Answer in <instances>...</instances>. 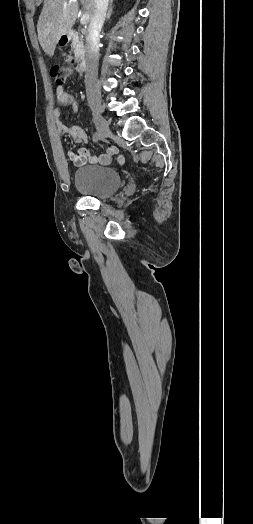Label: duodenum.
Masks as SVG:
<instances>
[{"instance_id":"duodenum-1","label":"duodenum","mask_w":253,"mask_h":524,"mask_svg":"<svg viewBox=\"0 0 253 524\" xmlns=\"http://www.w3.org/2000/svg\"><path fill=\"white\" fill-rule=\"evenodd\" d=\"M73 32H69L67 34V37H70V36H73ZM78 69L81 70L83 73L86 72L87 70V60L85 58L84 55H81L79 58H78Z\"/></svg>"}]
</instances>
